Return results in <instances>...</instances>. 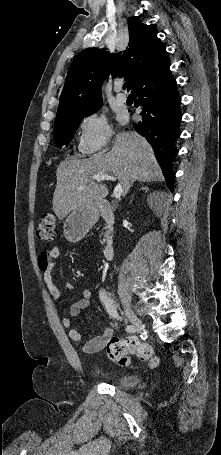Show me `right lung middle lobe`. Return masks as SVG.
Here are the masks:
<instances>
[{
  "instance_id": "dd1d6c3e",
  "label": "right lung middle lobe",
  "mask_w": 221,
  "mask_h": 455,
  "mask_svg": "<svg viewBox=\"0 0 221 455\" xmlns=\"http://www.w3.org/2000/svg\"><path fill=\"white\" fill-rule=\"evenodd\" d=\"M101 106L102 104H99L86 111L63 116L59 119H56L54 127V140L56 142L57 147L60 148L62 145L67 144L69 141H71L73 138V134L78 128L81 120L85 116H89L98 111Z\"/></svg>"
}]
</instances>
